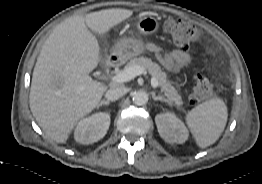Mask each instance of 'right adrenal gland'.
I'll return each instance as SVG.
<instances>
[{
    "instance_id": "right-adrenal-gland-1",
    "label": "right adrenal gland",
    "mask_w": 262,
    "mask_h": 184,
    "mask_svg": "<svg viewBox=\"0 0 262 184\" xmlns=\"http://www.w3.org/2000/svg\"><path fill=\"white\" fill-rule=\"evenodd\" d=\"M109 104H110L109 101H107V100H102V101L98 104L97 108L101 107L102 105L108 106Z\"/></svg>"
}]
</instances>
